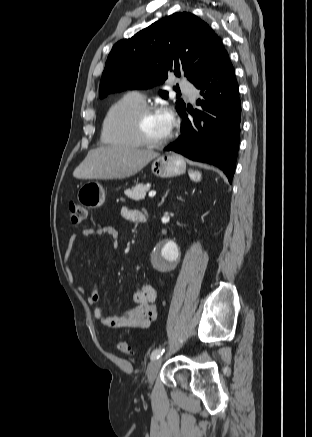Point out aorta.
I'll use <instances>...</instances> for the list:
<instances>
[{
  "instance_id": "1",
  "label": "aorta",
  "mask_w": 312,
  "mask_h": 437,
  "mask_svg": "<svg viewBox=\"0 0 312 437\" xmlns=\"http://www.w3.org/2000/svg\"><path fill=\"white\" fill-rule=\"evenodd\" d=\"M178 257V249L175 243L168 241L163 243L154 255V262L158 268H161L169 260Z\"/></svg>"
}]
</instances>
